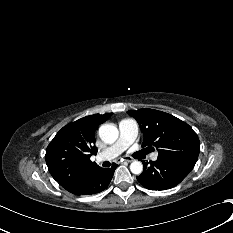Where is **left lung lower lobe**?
Listing matches in <instances>:
<instances>
[{
	"label": "left lung lower lobe",
	"instance_id": "0a47b994",
	"mask_svg": "<svg viewBox=\"0 0 233 233\" xmlns=\"http://www.w3.org/2000/svg\"><path fill=\"white\" fill-rule=\"evenodd\" d=\"M143 162V161H142ZM144 163V170L137 180L149 190H167L178 185L188 173L173 164L157 159Z\"/></svg>",
	"mask_w": 233,
	"mask_h": 233
}]
</instances>
